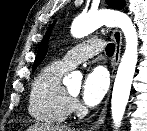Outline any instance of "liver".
I'll return each mask as SVG.
<instances>
[{"label": "liver", "mask_w": 147, "mask_h": 131, "mask_svg": "<svg viewBox=\"0 0 147 131\" xmlns=\"http://www.w3.org/2000/svg\"><path fill=\"white\" fill-rule=\"evenodd\" d=\"M27 131H74L66 126H59L49 123H35L31 125Z\"/></svg>", "instance_id": "6515ba94"}]
</instances>
